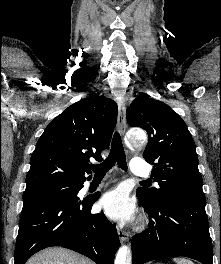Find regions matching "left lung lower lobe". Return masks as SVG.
Returning a JSON list of instances; mask_svg holds the SVG:
<instances>
[{
  "instance_id": "1",
  "label": "left lung lower lobe",
  "mask_w": 221,
  "mask_h": 264,
  "mask_svg": "<svg viewBox=\"0 0 221 264\" xmlns=\"http://www.w3.org/2000/svg\"><path fill=\"white\" fill-rule=\"evenodd\" d=\"M141 204L149 215V228L132 238V264L173 256L213 264L205 204L173 199Z\"/></svg>"
}]
</instances>
